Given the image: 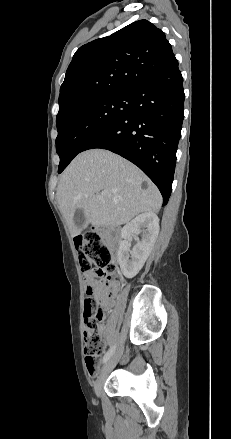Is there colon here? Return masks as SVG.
I'll list each match as a JSON object with an SVG mask.
<instances>
[{
    "label": "colon",
    "instance_id": "5ec220e1",
    "mask_svg": "<svg viewBox=\"0 0 231 439\" xmlns=\"http://www.w3.org/2000/svg\"><path fill=\"white\" fill-rule=\"evenodd\" d=\"M82 271H93L99 278L98 284L102 292H109L118 279L116 266L112 260L110 249L97 233H88L75 240ZM84 305L85 326V362L90 374L97 370L103 350L102 304L91 290Z\"/></svg>",
    "mask_w": 231,
    "mask_h": 439
}]
</instances>
